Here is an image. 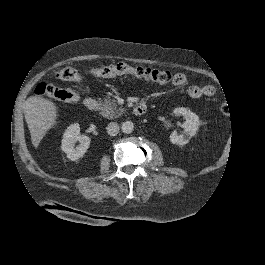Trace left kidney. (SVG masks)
<instances>
[{
  "label": "left kidney",
  "mask_w": 265,
  "mask_h": 265,
  "mask_svg": "<svg viewBox=\"0 0 265 265\" xmlns=\"http://www.w3.org/2000/svg\"><path fill=\"white\" fill-rule=\"evenodd\" d=\"M173 113L177 116H184L186 121L182 124L184 133L178 135L176 131H173L170 135V141L173 144L185 145L196 134L198 130L200 125L199 117L195 113L184 107L175 108Z\"/></svg>",
  "instance_id": "1"
}]
</instances>
